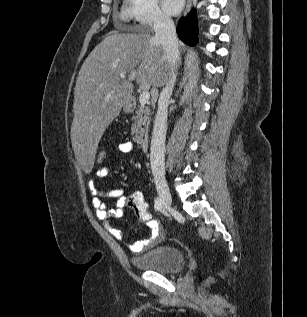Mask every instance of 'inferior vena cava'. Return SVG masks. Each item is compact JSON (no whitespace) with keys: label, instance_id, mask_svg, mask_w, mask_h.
Instances as JSON below:
<instances>
[{"label":"inferior vena cava","instance_id":"obj_1","mask_svg":"<svg viewBox=\"0 0 307 317\" xmlns=\"http://www.w3.org/2000/svg\"><path fill=\"white\" fill-rule=\"evenodd\" d=\"M153 28L155 31L154 38L162 45L164 56L171 67V77L160 93L150 148L152 174L155 178H162L165 174V140L168 105L176 81L175 66H177L179 60V49L175 25L169 16L160 14L155 20Z\"/></svg>","mask_w":307,"mask_h":317}]
</instances>
